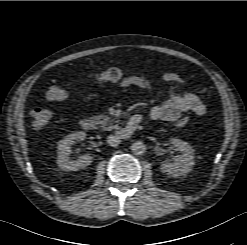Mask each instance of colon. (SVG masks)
I'll use <instances>...</instances> for the list:
<instances>
[{"mask_svg":"<svg viewBox=\"0 0 247 245\" xmlns=\"http://www.w3.org/2000/svg\"><path fill=\"white\" fill-rule=\"evenodd\" d=\"M127 75V71L119 67H111L100 71L93 76V82L96 84L115 83L121 81ZM70 90L63 86H51L46 92V98L50 101H62L69 97ZM51 112L47 109L37 108L31 111L33 124L37 128L44 127L51 119ZM190 123V119L182 117L176 122L179 128L185 127Z\"/></svg>","mask_w":247,"mask_h":245,"instance_id":"obj_1","label":"colon"}]
</instances>
